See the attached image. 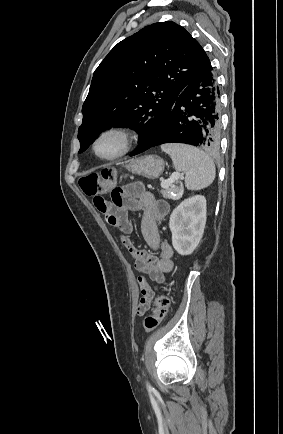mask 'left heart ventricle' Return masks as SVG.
Wrapping results in <instances>:
<instances>
[{"mask_svg": "<svg viewBox=\"0 0 283 434\" xmlns=\"http://www.w3.org/2000/svg\"><path fill=\"white\" fill-rule=\"evenodd\" d=\"M116 148V141L112 138L103 140L98 146L99 151L103 154H111L116 150Z\"/></svg>", "mask_w": 283, "mask_h": 434, "instance_id": "obj_1", "label": "left heart ventricle"}]
</instances>
